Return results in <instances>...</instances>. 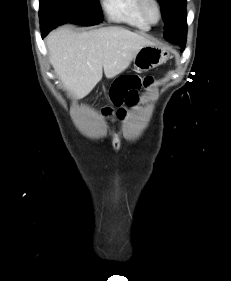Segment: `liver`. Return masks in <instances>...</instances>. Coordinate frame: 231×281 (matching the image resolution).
Returning <instances> with one entry per match:
<instances>
[{
	"label": "liver",
	"mask_w": 231,
	"mask_h": 281,
	"mask_svg": "<svg viewBox=\"0 0 231 281\" xmlns=\"http://www.w3.org/2000/svg\"><path fill=\"white\" fill-rule=\"evenodd\" d=\"M49 60L70 95H88L102 79L128 68L138 51L151 41L121 27H104L75 33L68 27L46 38Z\"/></svg>",
	"instance_id": "6515ba94"
}]
</instances>
